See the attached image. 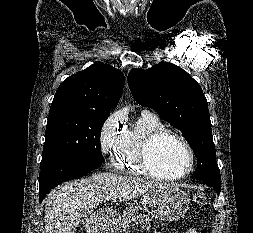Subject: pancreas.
Wrapping results in <instances>:
<instances>
[{
	"instance_id": "1",
	"label": "pancreas",
	"mask_w": 253,
	"mask_h": 233,
	"mask_svg": "<svg viewBox=\"0 0 253 233\" xmlns=\"http://www.w3.org/2000/svg\"><path fill=\"white\" fill-rule=\"evenodd\" d=\"M138 221L140 225L145 228H150V219L147 215L139 212V207L137 205L127 208L123 215V228H127L129 224L133 221Z\"/></svg>"
}]
</instances>
